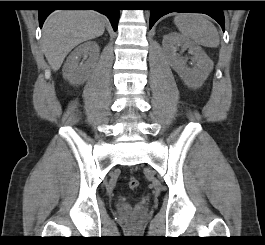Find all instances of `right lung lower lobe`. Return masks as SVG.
<instances>
[{"label":"right lung lower lobe","instance_id":"1","mask_svg":"<svg viewBox=\"0 0 265 245\" xmlns=\"http://www.w3.org/2000/svg\"><path fill=\"white\" fill-rule=\"evenodd\" d=\"M117 1H88L82 3L80 6L95 7L94 10L99 11L102 14L108 16L113 26V29L116 31L119 20V10L117 8ZM61 5V4H58ZM54 10L52 9H41L39 10V25L42 27L43 22L46 17Z\"/></svg>","mask_w":265,"mask_h":245}]
</instances>
